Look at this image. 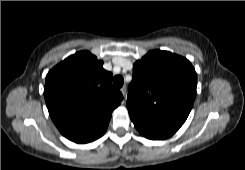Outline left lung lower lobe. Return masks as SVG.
Returning a JSON list of instances; mask_svg holds the SVG:
<instances>
[{"label": "left lung lower lobe", "mask_w": 245, "mask_h": 170, "mask_svg": "<svg viewBox=\"0 0 245 170\" xmlns=\"http://www.w3.org/2000/svg\"><path fill=\"white\" fill-rule=\"evenodd\" d=\"M135 128L141 135L152 140H163L172 136L176 131L170 128L147 123L140 118L130 116Z\"/></svg>", "instance_id": "0a47b994"}]
</instances>
